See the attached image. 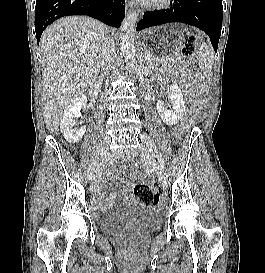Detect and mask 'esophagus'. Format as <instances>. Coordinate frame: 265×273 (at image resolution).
Segmentation results:
<instances>
[{
  "label": "esophagus",
  "instance_id": "34e87169",
  "mask_svg": "<svg viewBox=\"0 0 265 273\" xmlns=\"http://www.w3.org/2000/svg\"><path fill=\"white\" fill-rule=\"evenodd\" d=\"M134 7H135L134 2H131V3L129 4V9L131 10V9H133Z\"/></svg>",
  "mask_w": 265,
  "mask_h": 273
}]
</instances>
